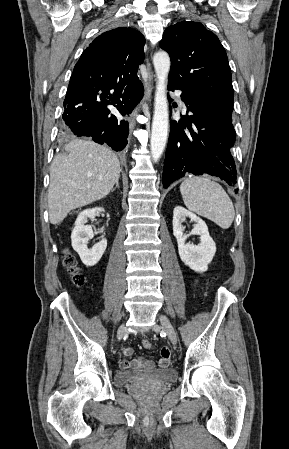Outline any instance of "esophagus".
Here are the masks:
<instances>
[{
	"label": "esophagus",
	"instance_id": "esophagus-1",
	"mask_svg": "<svg viewBox=\"0 0 289 449\" xmlns=\"http://www.w3.org/2000/svg\"><path fill=\"white\" fill-rule=\"evenodd\" d=\"M147 89H146V94H145V100L150 102L151 100V94H152V89H153V73L150 69V65L148 64V79H147ZM140 110V107L135 108V110L132 112L131 115V121H130V127L133 128L135 125V116L138 113V111Z\"/></svg>",
	"mask_w": 289,
	"mask_h": 449
}]
</instances>
